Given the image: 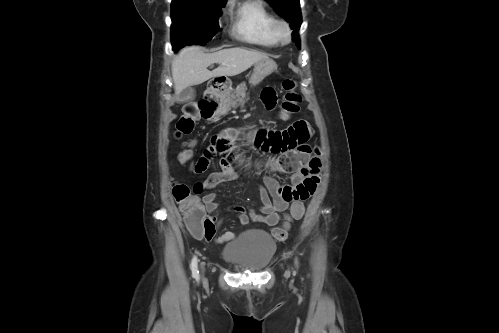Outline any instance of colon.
Here are the masks:
<instances>
[{
  "label": "colon",
  "instance_id": "colon-1",
  "mask_svg": "<svg viewBox=\"0 0 499 333\" xmlns=\"http://www.w3.org/2000/svg\"><path fill=\"white\" fill-rule=\"evenodd\" d=\"M284 97L280 106V115L287 119L300 110L302 101L301 95L297 92L296 82L291 78H286L282 82ZM194 110L190 109L183 114L177 121V136L189 135L195 127ZM180 161L185 163L190 158L189 150L180 154ZM173 197L184 215V222L187 229L195 236L211 240L215 233V227L212 219L206 214L200 200L192 195L190 188L181 183H177L172 189ZM305 213V207L302 202L295 201L291 204L289 212L280 227L272 230V235L276 240L283 241L288 236V230L293 221L300 220Z\"/></svg>",
  "mask_w": 499,
  "mask_h": 333
}]
</instances>
